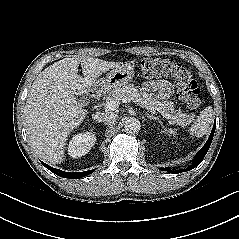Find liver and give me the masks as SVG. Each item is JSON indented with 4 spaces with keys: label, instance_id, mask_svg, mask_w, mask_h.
Returning <instances> with one entry per match:
<instances>
[{
    "label": "liver",
    "instance_id": "1",
    "mask_svg": "<svg viewBox=\"0 0 239 239\" xmlns=\"http://www.w3.org/2000/svg\"><path fill=\"white\" fill-rule=\"evenodd\" d=\"M81 63L82 74L78 75ZM121 63L98 58H64L35 79L24 108L26 131L35 153L50 164L64 160L67 137L85 119L75 95L86 94L97 78Z\"/></svg>",
    "mask_w": 239,
    "mask_h": 239
}]
</instances>
